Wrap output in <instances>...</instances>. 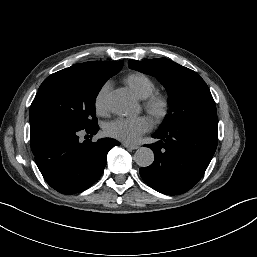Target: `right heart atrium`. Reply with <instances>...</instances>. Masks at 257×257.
Here are the masks:
<instances>
[{"label":"right heart atrium","mask_w":257,"mask_h":257,"mask_svg":"<svg viewBox=\"0 0 257 257\" xmlns=\"http://www.w3.org/2000/svg\"><path fill=\"white\" fill-rule=\"evenodd\" d=\"M111 83L106 82L101 86L99 91L97 92L94 100V105L96 112L98 114H104L107 111V97H108V92L110 89Z\"/></svg>","instance_id":"d8ad5b80"}]
</instances>
